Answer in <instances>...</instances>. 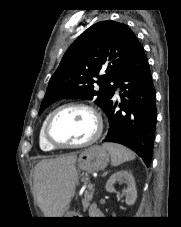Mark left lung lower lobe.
Wrapping results in <instances>:
<instances>
[{
    "label": "left lung lower lobe",
    "instance_id": "1",
    "mask_svg": "<svg viewBox=\"0 0 181 227\" xmlns=\"http://www.w3.org/2000/svg\"><path fill=\"white\" fill-rule=\"evenodd\" d=\"M123 91L121 110L112 103L105 111L110 129L103 142H117L135 151L149 166L155 139L157 120L156 92L149 63L140 44L117 81Z\"/></svg>",
    "mask_w": 181,
    "mask_h": 227
}]
</instances>
